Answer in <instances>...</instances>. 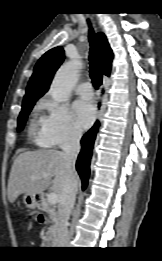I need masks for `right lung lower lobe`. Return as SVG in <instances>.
Here are the masks:
<instances>
[{"instance_id":"98d812e1","label":"right lung lower lobe","mask_w":162,"mask_h":261,"mask_svg":"<svg viewBox=\"0 0 162 261\" xmlns=\"http://www.w3.org/2000/svg\"><path fill=\"white\" fill-rule=\"evenodd\" d=\"M98 127L99 123L96 122L95 125L82 137L81 140L82 149L76 162V169L82 180L83 189L86 188L88 183L90 174V161Z\"/></svg>"}]
</instances>
